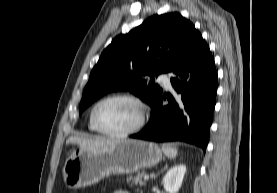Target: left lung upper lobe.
I'll return each instance as SVG.
<instances>
[{
  "label": "left lung upper lobe",
  "mask_w": 277,
  "mask_h": 193,
  "mask_svg": "<svg viewBox=\"0 0 277 193\" xmlns=\"http://www.w3.org/2000/svg\"><path fill=\"white\" fill-rule=\"evenodd\" d=\"M199 31L179 13L154 15L127 34L115 37L90 74L80 113L107 92L129 90L152 108L162 96L153 77L184 60ZM146 76H150L149 84Z\"/></svg>",
  "instance_id": "left-lung-upper-lobe-1"
}]
</instances>
